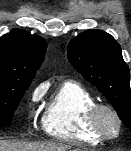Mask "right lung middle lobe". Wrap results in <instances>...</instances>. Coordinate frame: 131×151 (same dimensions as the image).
I'll use <instances>...</instances> for the list:
<instances>
[{
    "mask_svg": "<svg viewBox=\"0 0 131 151\" xmlns=\"http://www.w3.org/2000/svg\"><path fill=\"white\" fill-rule=\"evenodd\" d=\"M30 84L0 83V126L9 124Z\"/></svg>",
    "mask_w": 131,
    "mask_h": 151,
    "instance_id": "dd1d6c3e",
    "label": "right lung middle lobe"
}]
</instances>
